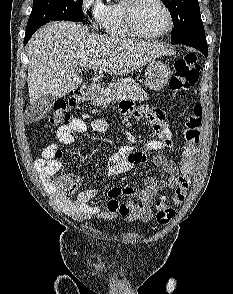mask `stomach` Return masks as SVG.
<instances>
[{
  "label": "stomach",
  "mask_w": 233,
  "mask_h": 294,
  "mask_svg": "<svg viewBox=\"0 0 233 294\" xmlns=\"http://www.w3.org/2000/svg\"><path fill=\"white\" fill-rule=\"evenodd\" d=\"M171 74L172 70L166 63L152 60L145 71V84L151 90L159 91L167 84Z\"/></svg>",
  "instance_id": "0dacf381"
}]
</instances>
